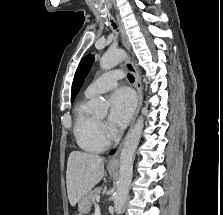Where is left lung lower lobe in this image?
Masks as SVG:
<instances>
[{
	"label": "left lung lower lobe",
	"instance_id": "obj_1",
	"mask_svg": "<svg viewBox=\"0 0 223 215\" xmlns=\"http://www.w3.org/2000/svg\"><path fill=\"white\" fill-rule=\"evenodd\" d=\"M115 152V150L111 151V154H113Z\"/></svg>",
	"mask_w": 223,
	"mask_h": 215
}]
</instances>
